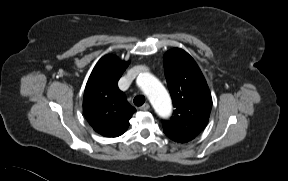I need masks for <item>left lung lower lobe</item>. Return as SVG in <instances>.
I'll return each instance as SVG.
<instances>
[{
  "label": "left lung lower lobe",
  "mask_w": 288,
  "mask_h": 181,
  "mask_svg": "<svg viewBox=\"0 0 288 181\" xmlns=\"http://www.w3.org/2000/svg\"><path fill=\"white\" fill-rule=\"evenodd\" d=\"M169 138L179 143H185L193 139L190 137H169Z\"/></svg>",
  "instance_id": "0a47b994"
}]
</instances>
